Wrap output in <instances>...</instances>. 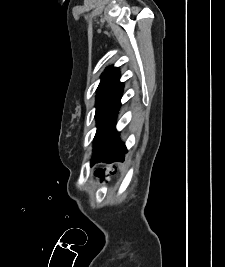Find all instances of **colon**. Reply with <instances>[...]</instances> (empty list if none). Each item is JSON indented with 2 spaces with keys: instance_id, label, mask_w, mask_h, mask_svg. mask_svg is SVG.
<instances>
[{
  "instance_id": "obj_1",
  "label": "colon",
  "mask_w": 225,
  "mask_h": 267,
  "mask_svg": "<svg viewBox=\"0 0 225 267\" xmlns=\"http://www.w3.org/2000/svg\"><path fill=\"white\" fill-rule=\"evenodd\" d=\"M111 170V167L108 165L98 168L95 171L97 181L100 183H106L110 178Z\"/></svg>"
}]
</instances>
